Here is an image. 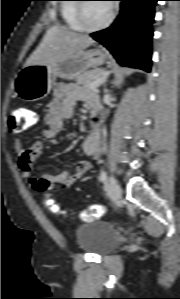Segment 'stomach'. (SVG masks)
<instances>
[{"mask_svg":"<svg viewBox=\"0 0 180 299\" xmlns=\"http://www.w3.org/2000/svg\"><path fill=\"white\" fill-rule=\"evenodd\" d=\"M107 56L100 49L78 51L52 64L24 66L15 78L16 94L24 101L34 102L46 97L57 77L74 79L90 68L105 63Z\"/></svg>","mask_w":180,"mask_h":299,"instance_id":"obj_1","label":"stomach"}]
</instances>
